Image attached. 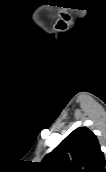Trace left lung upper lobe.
I'll return each instance as SVG.
<instances>
[{"mask_svg":"<svg viewBox=\"0 0 106 172\" xmlns=\"http://www.w3.org/2000/svg\"><path fill=\"white\" fill-rule=\"evenodd\" d=\"M40 167L44 172H105L103 152L96 136L86 127L71 132Z\"/></svg>","mask_w":106,"mask_h":172,"instance_id":"left-lung-upper-lobe-1","label":"left lung upper lobe"}]
</instances>
